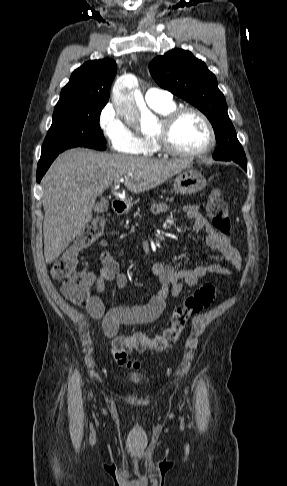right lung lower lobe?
<instances>
[{
  "mask_svg": "<svg viewBox=\"0 0 287 486\" xmlns=\"http://www.w3.org/2000/svg\"><path fill=\"white\" fill-rule=\"evenodd\" d=\"M57 155L58 154L46 158H41L39 160L38 167H37V182H40L43 175L45 174V172L47 171V169L49 168L53 160L57 157Z\"/></svg>",
  "mask_w": 287,
  "mask_h": 486,
  "instance_id": "right-lung-lower-lobe-1",
  "label": "right lung lower lobe"
}]
</instances>
